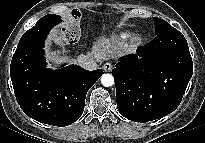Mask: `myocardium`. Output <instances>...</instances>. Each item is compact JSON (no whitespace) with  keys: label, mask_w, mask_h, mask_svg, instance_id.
<instances>
[{"label":"myocardium","mask_w":205,"mask_h":143,"mask_svg":"<svg viewBox=\"0 0 205 143\" xmlns=\"http://www.w3.org/2000/svg\"><path fill=\"white\" fill-rule=\"evenodd\" d=\"M132 42L135 46H138L143 42V37L140 34H136L133 37Z\"/></svg>","instance_id":"1"}]
</instances>
